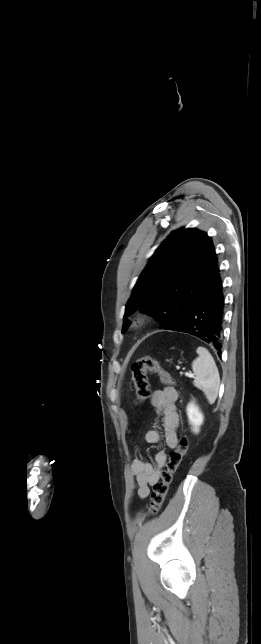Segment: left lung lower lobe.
<instances>
[{
    "mask_svg": "<svg viewBox=\"0 0 261 644\" xmlns=\"http://www.w3.org/2000/svg\"><path fill=\"white\" fill-rule=\"evenodd\" d=\"M224 293L220 271L210 286L194 301L181 318L167 326L191 334L212 345L221 355Z\"/></svg>",
    "mask_w": 261,
    "mask_h": 644,
    "instance_id": "left-lung-lower-lobe-1",
    "label": "left lung lower lobe"
}]
</instances>
